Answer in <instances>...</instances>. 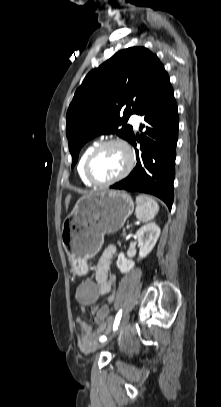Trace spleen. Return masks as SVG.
Here are the masks:
<instances>
[{"mask_svg": "<svg viewBox=\"0 0 221 407\" xmlns=\"http://www.w3.org/2000/svg\"><path fill=\"white\" fill-rule=\"evenodd\" d=\"M136 217L142 222H148L156 216L159 211L158 203L150 196L139 194L136 196Z\"/></svg>", "mask_w": 221, "mask_h": 407, "instance_id": "1", "label": "spleen"}]
</instances>
